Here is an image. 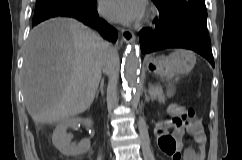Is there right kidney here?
I'll return each mask as SVG.
<instances>
[{"label": "right kidney", "mask_w": 242, "mask_h": 160, "mask_svg": "<svg viewBox=\"0 0 242 160\" xmlns=\"http://www.w3.org/2000/svg\"><path fill=\"white\" fill-rule=\"evenodd\" d=\"M79 124H83L87 128L92 127L91 119L69 118L61 121L55 128L52 135V142L54 146L64 155L79 156L86 153L90 149V140L83 139L78 144H70L72 135L67 133L68 128H75Z\"/></svg>", "instance_id": "right-kidney-1"}]
</instances>
